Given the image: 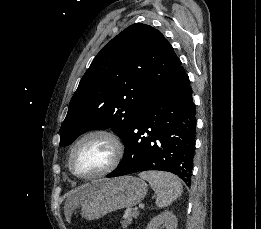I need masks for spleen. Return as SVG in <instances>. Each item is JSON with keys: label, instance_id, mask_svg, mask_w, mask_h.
I'll return each instance as SVG.
<instances>
[{"label": "spleen", "instance_id": "obj_1", "mask_svg": "<svg viewBox=\"0 0 261 229\" xmlns=\"http://www.w3.org/2000/svg\"><path fill=\"white\" fill-rule=\"evenodd\" d=\"M139 177L148 181L150 187L157 193L155 203L160 209L171 205L183 193L180 179L172 175V173H165V171H144V173H139Z\"/></svg>", "mask_w": 261, "mask_h": 229}]
</instances>
